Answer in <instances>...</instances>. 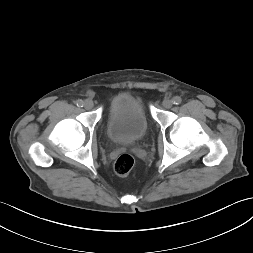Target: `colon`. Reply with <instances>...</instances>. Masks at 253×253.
<instances>
[{
	"label": "colon",
	"instance_id": "obj_1",
	"mask_svg": "<svg viewBox=\"0 0 253 253\" xmlns=\"http://www.w3.org/2000/svg\"><path fill=\"white\" fill-rule=\"evenodd\" d=\"M135 164L134 158L130 154L120 155L114 163V171L120 177L128 176Z\"/></svg>",
	"mask_w": 253,
	"mask_h": 253
}]
</instances>
